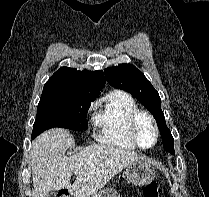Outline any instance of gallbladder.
I'll return each mask as SVG.
<instances>
[{"mask_svg":"<svg viewBox=\"0 0 209 197\" xmlns=\"http://www.w3.org/2000/svg\"><path fill=\"white\" fill-rule=\"evenodd\" d=\"M47 197H56V193L54 191L49 192Z\"/></svg>","mask_w":209,"mask_h":197,"instance_id":"gallbladder-1","label":"gallbladder"}]
</instances>
